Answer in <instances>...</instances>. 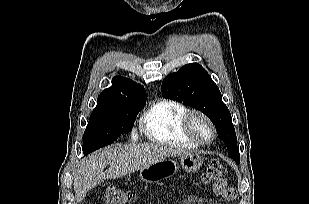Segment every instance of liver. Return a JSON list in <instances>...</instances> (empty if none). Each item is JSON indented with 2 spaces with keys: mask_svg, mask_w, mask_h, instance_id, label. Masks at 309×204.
Instances as JSON below:
<instances>
[{
  "mask_svg": "<svg viewBox=\"0 0 309 204\" xmlns=\"http://www.w3.org/2000/svg\"><path fill=\"white\" fill-rule=\"evenodd\" d=\"M184 153L180 149L149 143L106 147L90 154L78 166L73 183L76 198L82 201L89 190L106 179H116ZM107 165L109 168L104 171Z\"/></svg>",
  "mask_w": 309,
  "mask_h": 204,
  "instance_id": "obj_1",
  "label": "liver"
}]
</instances>
